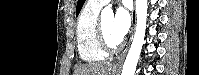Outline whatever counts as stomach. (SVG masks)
<instances>
[{
	"label": "stomach",
	"mask_w": 199,
	"mask_h": 75,
	"mask_svg": "<svg viewBox=\"0 0 199 75\" xmlns=\"http://www.w3.org/2000/svg\"><path fill=\"white\" fill-rule=\"evenodd\" d=\"M111 73H112V75H116V70L113 69V70L111 71Z\"/></svg>",
	"instance_id": "stomach-1"
}]
</instances>
